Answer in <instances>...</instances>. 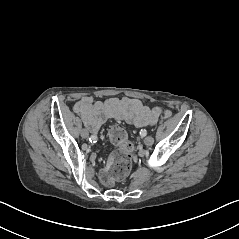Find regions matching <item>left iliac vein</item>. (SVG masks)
<instances>
[{"label": "left iliac vein", "mask_w": 239, "mask_h": 239, "mask_svg": "<svg viewBox=\"0 0 239 239\" xmlns=\"http://www.w3.org/2000/svg\"><path fill=\"white\" fill-rule=\"evenodd\" d=\"M144 143H145V145H147V146H151V145L154 143V138L151 137V136H147V137L144 139Z\"/></svg>", "instance_id": "4c4485c4"}]
</instances>
